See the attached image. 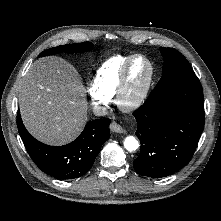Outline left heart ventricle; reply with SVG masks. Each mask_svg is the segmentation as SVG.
<instances>
[{"label":"left heart ventricle","instance_id":"left-heart-ventricle-1","mask_svg":"<svg viewBox=\"0 0 221 221\" xmlns=\"http://www.w3.org/2000/svg\"><path fill=\"white\" fill-rule=\"evenodd\" d=\"M149 75V66L143 59H137L130 70L127 99L135 98L142 90Z\"/></svg>","mask_w":221,"mask_h":221}]
</instances>
